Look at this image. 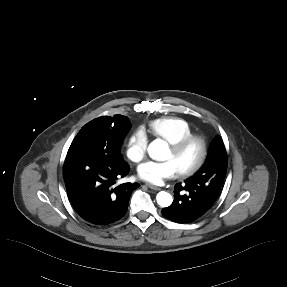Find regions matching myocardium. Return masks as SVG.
Returning a JSON list of instances; mask_svg holds the SVG:
<instances>
[{
  "label": "myocardium",
  "instance_id": "f54148a6",
  "mask_svg": "<svg viewBox=\"0 0 287 287\" xmlns=\"http://www.w3.org/2000/svg\"><path fill=\"white\" fill-rule=\"evenodd\" d=\"M196 145L198 146L199 153L196 160L189 166L179 170V175L182 177L191 176L196 173L204 164L208 154V144L206 140L199 135H190L184 139L170 144L169 147L174 155H179L187 150L189 147Z\"/></svg>",
  "mask_w": 287,
  "mask_h": 287
}]
</instances>
